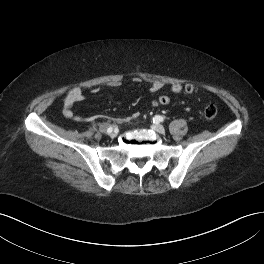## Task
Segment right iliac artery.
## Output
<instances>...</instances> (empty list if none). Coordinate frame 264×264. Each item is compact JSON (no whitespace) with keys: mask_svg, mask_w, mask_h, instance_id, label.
<instances>
[{"mask_svg":"<svg viewBox=\"0 0 264 264\" xmlns=\"http://www.w3.org/2000/svg\"><path fill=\"white\" fill-rule=\"evenodd\" d=\"M112 130H113V128L111 126L106 129L107 133L112 132Z\"/></svg>","mask_w":264,"mask_h":264,"instance_id":"1","label":"right iliac artery"}]
</instances>
